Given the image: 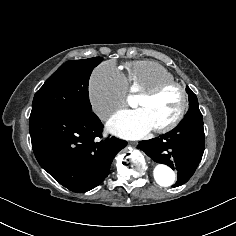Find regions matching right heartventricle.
Returning a JSON list of instances; mask_svg holds the SVG:
<instances>
[{"label":"right heart ventricle","instance_id":"obj_1","mask_svg":"<svg viewBox=\"0 0 236 236\" xmlns=\"http://www.w3.org/2000/svg\"><path fill=\"white\" fill-rule=\"evenodd\" d=\"M126 86L142 93L166 81H174V75L162 64L154 61H131L124 65Z\"/></svg>","mask_w":236,"mask_h":236}]
</instances>
